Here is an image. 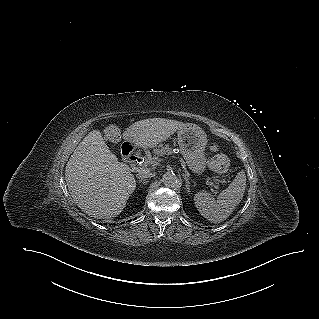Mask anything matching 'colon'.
<instances>
[{
  "instance_id": "1",
  "label": "colon",
  "mask_w": 319,
  "mask_h": 319,
  "mask_svg": "<svg viewBox=\"0 0 319 319\" xmlns=\"http://www.w3.org/2000/svg\"><path fill=\"white\" fill-rule=\"evenodd\" d=\"M104 139L108 143L119 144L121 142L120 130L117 127H107L104 130ZM212 156L209 161L210 168L217 172L218 174L226 173L228 169V159L227 157L219 152L217 145L211 146Z\"/></svg>"
}]
</instances>
